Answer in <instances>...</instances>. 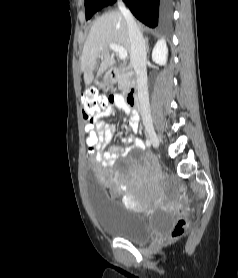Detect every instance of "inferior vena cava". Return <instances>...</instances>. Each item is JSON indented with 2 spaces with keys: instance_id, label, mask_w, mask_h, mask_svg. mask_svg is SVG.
Returning a JSON list of instances; mask_svg holds the SVG:
<instances>
[{
  "instance_id": "1",
  "label": "inferior vena cava",
  "mask_w": 238,
  "mask_h": 278,
  "mask_svg": "<svg viewBox=\"0 0 238 278\" xmlns=\"http://www.w3.org/2000/svg\"><path fill=\"white\" fill-rule=\"evenodd\" d=\"M119 9L124 16L128 26V33L131 44L130 62L136 73L137 98L139 101L143 123L146 126H151L152 121L147 87V53L145 41L137 23L133 19L131 12L126 9L122 2H119Z\"/></svg>"
}]
</instances>
